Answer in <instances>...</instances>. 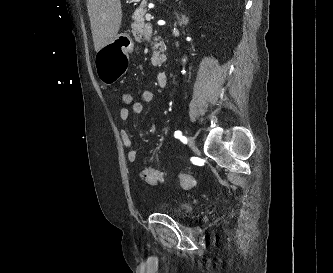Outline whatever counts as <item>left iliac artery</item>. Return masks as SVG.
<instances>
[{
	"label": "left iliac artery",
	"instance_id": "44dca946",
	"mask_svg": "<svg viewBox=\"0 0 333 273\" xmlns=\"http://www.w3.org/2000/svg\"><path fill=\"white\" fill-rule=\"evenodd\" d=\"M174 136L175 138H179L183 143H187V138L182 135L181 131H175Z\"/></svg>",
	"mask_w": 333,
	"mask_h": 273
}]
</instances>
